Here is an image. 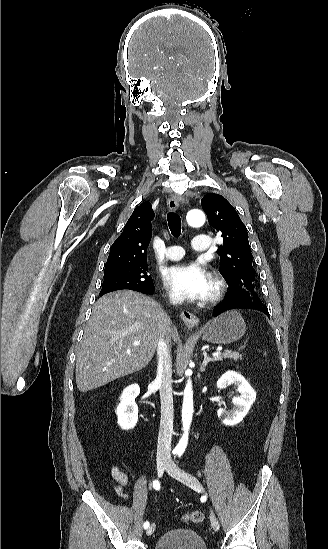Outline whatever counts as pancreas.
I'll list each match as a JSON object with an SVG mask.
<instances>
[{
  "instance_id": "pancreas-1",
  "label": "pancreas",
  "mask_w": 328,
  "mask_h": 549,
  "mask_svg": "<svg viewBox=\"0 0 328 549\" xmlns=\"http://www.w3.org/2000/svg\"><path fill=\"white\" fill-rule=\"evenodd\" d=\"M222 359H233V361H239V359H242V355H239V353H234V351H225L223 355L215 357L214 361H222Z\"/></svg>"
}]
</instances>
